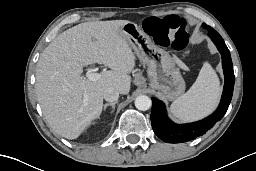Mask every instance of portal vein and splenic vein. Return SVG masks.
Returning <instances> with one entry per match:
<instances>
[{"label":"portal vein and splenic vein","instance_id":"18ae733b","mask_svg":"<svg viewBox=\"0 0 256 171\" xmlns=\"http://www.w3.org/2000/svg\"><path fill=\"white\" fill-rule=\"evenodd\" d=\"M101 74L97 73V72H94L92 70H89L87 73H86V79L89 80V81H95V80H98L100 78Z\"/></svg>","mask_w":256,"mask_h":171}]
</instances>
